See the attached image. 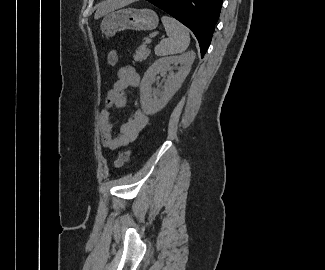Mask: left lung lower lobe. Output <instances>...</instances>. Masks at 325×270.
Wrapping results in <instances>:
<instances>
[{
	"label": "left lung lower lobe",
	"instance_id": "0a47b994",
	"mask_svg": "<svg viewBox=\"0 0 325 270\" xmlns=\"http://www.w3.org/2000/svg\"><path fill=\"white\" fill-rule=\"evenodd\" d=\"M176 18L196 36L201 57L206 53L223 0H147Z\"/></svg>",
	"mask_w": 325,
	"mask_h": 270
}]
</instances>
